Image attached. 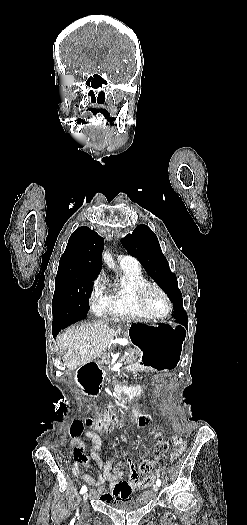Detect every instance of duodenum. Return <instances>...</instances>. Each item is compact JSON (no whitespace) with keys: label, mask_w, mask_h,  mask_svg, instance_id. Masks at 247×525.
Instances as JSON below:
<instances>
[{"label":"duodenum","mask_w":247,"mask_h":525,"mask_svg":"<svg viewBox=\"0 0 247 525\" xmlns=\"http://www.w3.org/2000/svg\"><path fill=\"white\" fill-rule=\"evenodd\" d=\"M134 369V364L126 366V370L128 371ZM104 375L105 370L97 363L90 361L86 362L78 369L76 379L77 383L85 393L94 395L99 391ZM136 394H138L137 391L125 385L117 386L114 389L115 398H133Z\"/></svg>","instance_id":"410a0bca"}]
</instances>
